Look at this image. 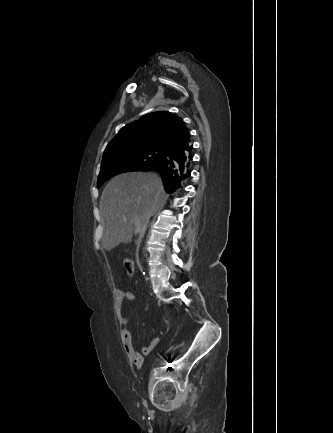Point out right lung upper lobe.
<instances>
[{"instance_id":"obj_1","label":"right lung upper lobe","mask_w":333,"mask_h":433,"mask_svg":"<svg viewBox=\"0 0 333 433\" xmlns=\"http://www.w3.org/2000/svg\"><path fill=\"white\" fill-rule=\"evenodd\" d=\"M190 144L182 118L168 111H158L124 126L107 145L103 158L128 148H156L168 153Z\"/></svg>"}]
</instances>
